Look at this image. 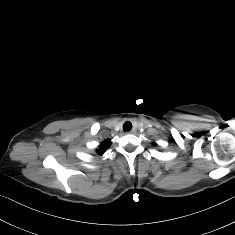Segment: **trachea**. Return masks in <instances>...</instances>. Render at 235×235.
<instances>
[{"label": "trachea", "instance_id": "1", "mask_svg": "<svg viewBox=\"0 0 235 235\" xmlns=\"http://www.w3.org/2000/svg\"><path fill=\"white\" fill-rule=\"evenodd\" d=\"M132 129V124L131 122H125L123 125V130L124 131H130Z\"/></svg>", "mask_w": 235, "mask_h": 235}]
</instances>
